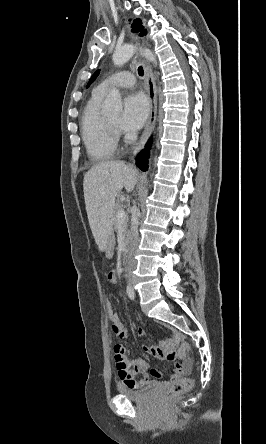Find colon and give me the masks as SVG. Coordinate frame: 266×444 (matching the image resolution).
Listing matches in <instances>:
<instances>
[{
  "label": "colon",
  "instance_id": "5ec220e1",
  "mask_svg": "<svg viewBox=\"0 0 266 444\" xmlns=\"http://www.w3.org/2000/svg\"><path fill=\"white\" fill-rule=\"evenodd\" d=\"M105 310L108 318L111 320L118 315L113 304L110 301L106 302ZM189 351V345L185 342L181 343L176 354L178 356H185ZM193 385V380L189 377L178 378L175 380L159 397V403L166 405L172 398L190 389Z\"/></svg>",
  "mask_w": 266,
  "mask_h": 444
}]
</instances>
